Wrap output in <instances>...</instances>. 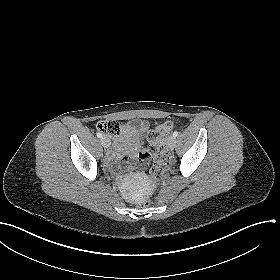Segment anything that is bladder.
<instances>
[{
  "label": "bladder",
  "instance_id": "obj_1",
  "mask_svg": "<svg viewBox=\"0 0 280 280\" xmlns=\"http://www.w3.org/2000/svg\"><path fill=\"white\" fill-rule=\"evenodd\" d=\"M133 140H140L142 137V133L139 131H135L133 132V134L131 135Z\"/></svg>",
  "mask_w": 280,
  "mask_h": 280
}]
</instances>
